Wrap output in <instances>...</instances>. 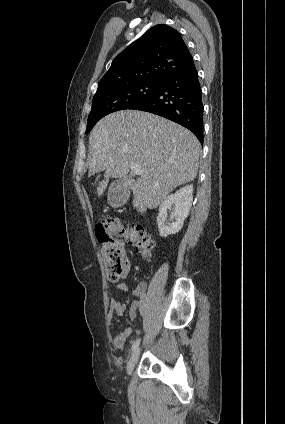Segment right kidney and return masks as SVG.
<instances>
[{
    "label": "right kidney",
    "mask_w": 285,
    "mask_h": 424,
    "mask_svg": "<svg viewBox=\"0 0 285 424\" xmlns=\"http://www.w3.org/2000/svg\"><path fill=\"white\" fill-rule=\"evenodd\" d=\"M193 185H186L179 189L175 194L167 196L159 207L157 216V225L160 236L167 237L178 233L187 218L193 201ZM173 206L171 219L172 223L167 224V210Z\"/></svg>",
    "instance_id": "1"
}]
</instances>
